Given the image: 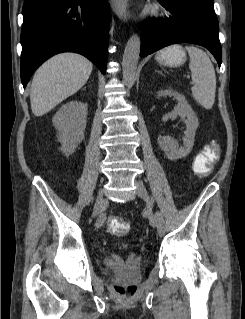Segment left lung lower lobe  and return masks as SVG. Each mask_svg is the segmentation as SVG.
Segmentation results:
<instances>
[{"label":"left lung lower lobe","instance_id":"left-lung-lower-lobe-1","mask_svg":"<svg viewBox=\"0 0 245 319\" xmlns=\"http://www.w3.org/2000/svg\"><path fill=\"white\" fill-rule=\"evenodd\" d=\"M159 2L170 12V16L148 19L143 24L140 56H147L175 43H193L206 47L220 67L222 50L214 10L189 0Z\"/></svg>","mask_w":245,"mask_h":319}]
</instances>
